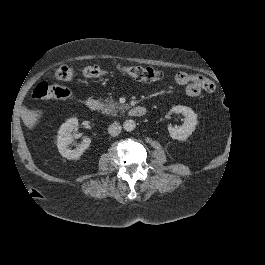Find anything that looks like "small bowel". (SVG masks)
Wrapping results in <instances>:
<instances>
[{"label":"small bowel","mask_w":265,"mask_h":265,"mask_svg":"<svg viewBox=\"0 0 265 265\" xmlns=\"http://www.w3.org/2000/svg\"><path fill=\"white\" fill-rule=\"evenodd\" d=\"M174 79L177 84L185 86V91L190 97H197L202 91L211 93L215 88L213 82L202 75L178 72Z\"/></svg>","instance_id":"1"}]
</instances>
